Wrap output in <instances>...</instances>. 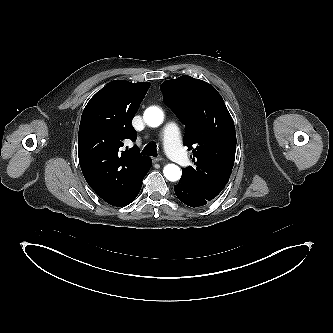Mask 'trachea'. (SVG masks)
<instances>
[{
  "instance_id": "obj_1",
  "label": "trachea",
  "mask_w": 333,
  "mask_h": 333,
  "mask_svg": "<svg viewBox=\"0 0 333 333\" xmlns=\"http://www.w3.org/2000/svg\"><path fill=\"white\" fill-rule=\"evenodd\" d=\"M141 154L156 157L157 156L156 145L154 143H148L142 150Z\"/></svg>"
}]
</instances>
